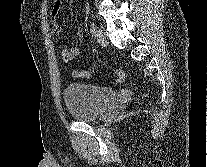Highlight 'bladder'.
<instances>
[{"mask_svg": "<svg viewBox=\"0 0 207 167\" xmlns=\"http://www.w3.org/2000/svg\"><path fill=\"white\" fill-rule=\"evenodd\" d=\"M116 98L108 87L71 83L64 91V102L70 117L76 121L98 120Z\"/></svg>", "mask_w": 207, "mask_h": 167, "instance_id": "31cf9c89", "label": "bladder"}]
</instances>
